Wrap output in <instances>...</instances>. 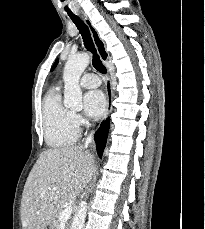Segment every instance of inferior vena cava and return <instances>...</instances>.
I'll return each instance as SVG.
<instances>
[{
	"label": "inferior vena cava",
	"instance_id": "602c4592",
	"mask_svg": "<svg viewBox=\"0 0 205 229\" xmlns=\"http://www.w3.org/2000/svg\"><path fill=\"white\" fill-rule=\"evenodd\" d=\"M93 141V133H91L87 138L85 142V148Z\"/></svg>",
	"mask_w": 205,
	"mask_h": 229
}]
</instances>
